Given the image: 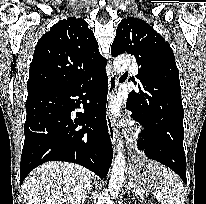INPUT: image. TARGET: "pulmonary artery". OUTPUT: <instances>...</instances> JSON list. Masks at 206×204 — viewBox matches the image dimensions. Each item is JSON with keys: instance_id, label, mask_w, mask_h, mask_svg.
<instances>
[{"instance_id": "obj_1", "label": "pulmonary artery", "mask_w": 206, "mask_h": 204, "mask_svg": "<svg viewBox=\"0 0 206 204\" xmlns=\"http://www.w3.org/2000/svg\"><path fill=\"white\" fill-rule=\"evenodd\" d=\"M131 71H132L133 73H137V69H136V68H132Z\"/></svg>"}]
</instances>
